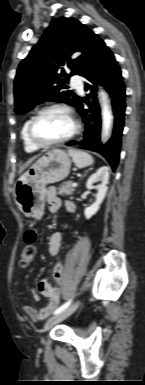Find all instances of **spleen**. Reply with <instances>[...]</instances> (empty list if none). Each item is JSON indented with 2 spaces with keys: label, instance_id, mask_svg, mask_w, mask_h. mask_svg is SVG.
<instances>
[{
  "label": "spleen",
  "instance_id": "spleen-1",
  "mask_svg": "<svg viewBox=\"0 0 145 385\" xmlns=\"http://www.w3.org/2000/svg\"><path fill=\"white\" fill-rule=\"evenodd\" d=\"M69 155L78 168H85L94 163L93 157L84 151L69 150Z\"/></svg>",
  "mask_w": 145,
  "mask_h": 385
}]
</instances>
